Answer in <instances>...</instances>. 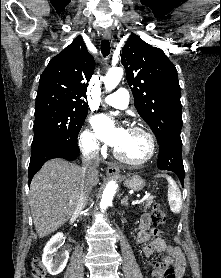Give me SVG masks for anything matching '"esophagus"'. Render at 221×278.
I'll return each mask as SVG.
<instances>
[{"label":"esophagus","mask_w":221,"mask_h":278,"mask_svg":"<svg viewBox=\"0 0 221 278\" xmlns=\"http://www.w3.org/2000/svg\"><path fill=\"white\" fill-rule=\"evenodd\" d=\"M102 35L103 38L106 40H109L111 38V33L109 31H104ZM106 174L109 176H119L120 170L117 166L110 164L106 168Z\"/></svg>","instance_id":"34e87169"}]
</instances>
